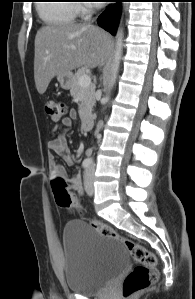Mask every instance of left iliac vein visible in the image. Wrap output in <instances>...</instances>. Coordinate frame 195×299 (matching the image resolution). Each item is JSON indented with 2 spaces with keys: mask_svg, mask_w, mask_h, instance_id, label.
I'll use <instances>...</instances> for the list:
<instances>
[{
  "mask_svg": "<svg viewBox=\"0 0 195 299\" xmlns=\"http://www.w3.org/2000/svg\"><path fill=\"white\" fill-rule=\"evenodd\" d=\"M94 166L88 168L85 172V191L88 196H92L94 194V185H93V172Z\"/></svg>",
  "mask_w": 195,
  "mask_h": 299,
  "instance_id": "obj_1",
  "label": "left iliac vein"
}]
</instances>
